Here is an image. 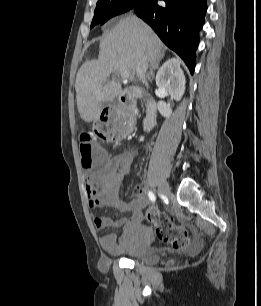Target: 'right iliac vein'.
<instances>
[{
  "mask_svg": "<svg viewBox=\"0 0 261 306\" xmlns=\"http://www.w3.org/2000/svg\"><path fill=\"white\" fill-rule=\"evenodd\" d=\"M159 192L162 196H167L169 194V186L167 182L161 181L159 184Z\"/></svg>",
  "mask_w": 261,
  "mask_h": 306,
  "instance_id": "1",
  "label": "right iliac vein"
}]
</instances>
